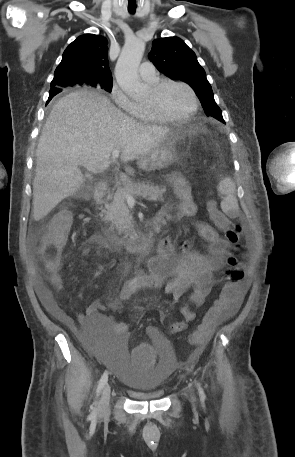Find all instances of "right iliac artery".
<instances>
[{"mask_svg":"<svg viewBox=\"0 0 295 457\" xmlns=\"http://www.w3.org/2000/svg\"><path fill=\"white\" fill-rule=\"evenodd\" d=\"M107 380H108V373L107 371H105L99 381V384H98V387H97V396L100 394V392L102 391L104 385L107 383ZM96 405V403H95ZM96 415V409L94 408L91 416H95Z\"/></svg>","mask_w":295,"mask_h":457,"instance_id":"82829eb1","label":"right iliac artery"}]
</instances>
